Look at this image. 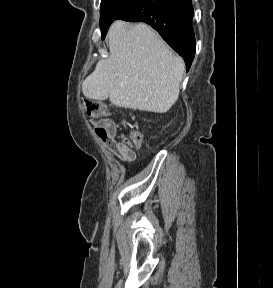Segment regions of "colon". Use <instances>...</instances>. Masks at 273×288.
Returning a JSON list of instances; mask_svg holds the SVG:
<instances>
[{
  "mask_svg": "<svg viewBox=\"0 0 273 288\" xmlns=\"http://www.w3.org/2000/svg\"><path fill=\"white\" fill-rule=\"evenodd\" d=\"M84 106L87 116L92 122H97L101 118H104L108 115V109L106 105L100 101L86 100ZM95 131L100 138H104L106 136L105 130L100 125L96 126ZM124 139L127 143L133 144L135 146L139 145L141 142V136L137 132H131Z\"/></svg>",
  "mask_w": 273,
  "mask_h": 288,
  "instance_id": "obj_1",
  "label": "colon"
}]
</instances>
